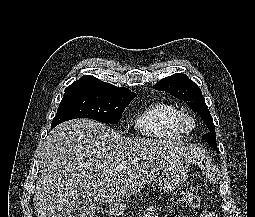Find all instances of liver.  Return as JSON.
I'll use <instances>...</instances> for the list:
<instances>
[{
    "label": "liver",
    "mask_w": 255,
    "mask_h": 217,
    "mask_svg": "<svg viewBox=\"0 0 255 217\" xmlns=\"http://www.w3.org/2000/svg\"><path fill=\"white\" fill-rule=\"evenodd\" d=\"M34 195L37 217H70L80 200L131 196L178 161L202 157L192 145L128 138L105 125L75 119L58 125L42 146ZM123 167L117 171V167Z\"/></svg>",
    "instance_id": "6515ba94"
}]
</instances>
